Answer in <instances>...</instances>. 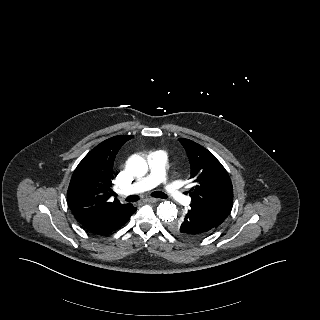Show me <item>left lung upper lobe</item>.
Instances as JSON below:
<instances>
[{
    "label": "left lung upper lobe",
    "instance_id": "obj_1",
    "mask_svg": "<svg viewBox=\"0 0 320 320\" xmlns=\"http://www.w3.org/2000/svg\"><path fill=\"white\" fill-rule=\"evenodd\" d=\"M191 163L194 186L189 193L190 209L219 226L229 215L233 204L231 179L217 158L198 143L180 138ZM180 221L171 223L172 231L184 239H195L180 231Z\"/></svg>",
    "mask_w": 320,
    "mask_h": 320
}]
</instances>
